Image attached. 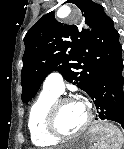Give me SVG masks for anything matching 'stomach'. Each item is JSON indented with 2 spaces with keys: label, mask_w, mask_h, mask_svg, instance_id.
<instances>
[{
  "label": "stomach",
  "mask_w": 124,
  "mask_h": 149,
  "mask_svg": "<svg viewBox=\"0 0 124 149\" xmlns=\"http://www.w3.org/2000/svg\"><path fill=\"white\" fill-rule=\"evenodd\" d=\"M107 124H99L89 130L86 134L76 139L72 145L66 149H94L93 144L95 143V135L99 131L100 127ZM122 138V135L120 136ZM117 139V138H115Z\"/></svg>",
  "instance_id": "stomach-1"
}]
</instances>
